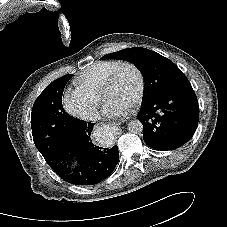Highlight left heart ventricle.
<instances>
[{
  "label": "left heart ventricle",
  "instance_id": "left-heart-ventricle-1",
  "mask_svg": "<svg viewBox=\"0 0 227 227\" xmlns=\"http://www.w3.org/2000/svg\"><path fill=\"white\" fill-rule=\"evenodd\" d=\"M138 88L136 73L131 68H125L120 73L115 84L105 92V101H121L132 103Z\"/></svg>",
  "mask_w": 227,
  "mask_h": 227
}]
</instances>
